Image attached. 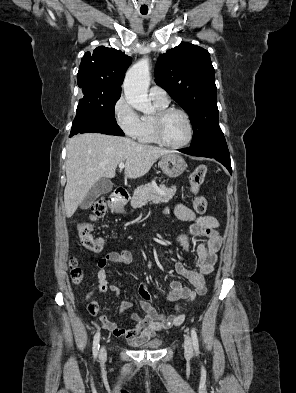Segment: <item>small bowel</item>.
I'll return each mask as SVG.
<instances>
[{
	"instance_id": "obj_1",
	"label": "small bowel",
	"mask_w": 296,
	"mask_h": 393,
	"mask_svg": "<svg viewBox=\"0 0 296 393\" xmlns=\"http://www.w3.org/2000/svg\"><path fill=\"white\" fill-rule=\"evenodd\" d=\"M175 216L182 220L191 222L186 232L178 236L177 241L184 250L191 247L194 238L205 236L207 241L201 243L196 248V255L191 262L197 267L196 271L187 269L181 262H175V271L181 276L187 278L192 288L185 286L181 281L175 280L171 283V290L165 293V297L172 301L188 300L192 302L197 296L206 293L205 279L213 271L217 261V252L222 244V237L218 231L219 221L210 215H197L188 206L178 203L173 208ZM170 209L165 213L169 214ZM132 253L129 250L121 249L118 251L108 252L97 262V279L98 285L85 295L88 312L97 316L104 328L110 331L114 336L124 337L132 346H139L150 338L157 331L179 326L185 319V314L180 311V306L172 314H166L159 311L154 306V296L149 291L148 285L143 283L138 288V303L143 314L132 313L130 320L131 327L119 326L116 322L111 321L105 314L100 313V304L92 297L95 293L112 292L115 295L121 293L119 285L111 283L108 280L106 267L112 263H130ZM133 305V300H126L120 305L122 312L126 311Z\"/></svg>"
}]
</instances>
